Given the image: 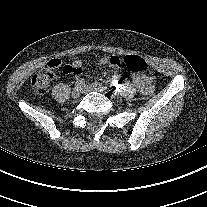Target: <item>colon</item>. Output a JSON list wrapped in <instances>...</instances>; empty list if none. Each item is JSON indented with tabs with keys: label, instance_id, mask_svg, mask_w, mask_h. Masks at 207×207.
I'll use <instances>...</instances> for the list:
<instances>
[{
	"label": "colon",
	"instance_id": "colon-1",
	"mask_svg": "<svg viewBox=\"0 0 207 207\" xmlns=\"http://www.w3.org/2000/svg\"><path fill=\"white\" fill-rule=\"evenodd\" d=\"M60 61L56 60L36 75L31 80V87L35 95L42 97L46 94L50 83L54 78V68L60 65ZM124 64L130 72L141 73L147 70L146 61L138 55H127L124 58ZM73 68L68 65L63 66V71H71Z\"/></svg>",
	"mask_w": 207,
	"mask_h": 207
}]
</instances>
